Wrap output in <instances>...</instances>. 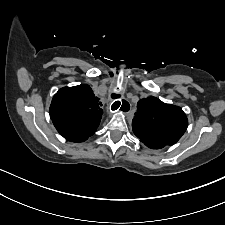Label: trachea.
<instances>
[{
	"label": "trachea",
	"instance_id": "obj_1",
	"mask_svg": "<svg viewBox=\"0 0 225 225\" xmlns=\"http://www.w3.org/2000/svg\"><path fill=\"white\" fill-rule=\"evenodd\" d=\"M120 95L119 94H115V93H113V94H111V98L112 99H120ZM115 107L113 108V110H116V109H118L119 108V106H120V104H121V102L119 101V100H117L116 102H115ZM121 108H122V110H124L125 108H130V105L125 101V100H123L122 101V106H121Z\"/></svg>",
	"mask_w": 225,
	"mask_h": 225
}]
</instances>
